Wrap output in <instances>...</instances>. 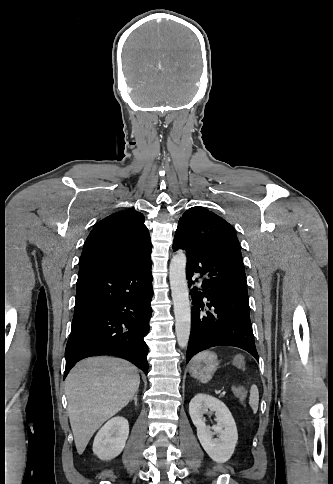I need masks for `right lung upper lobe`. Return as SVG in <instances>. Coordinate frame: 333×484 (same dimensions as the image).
I'll return each instance as SVG.
<instances>
[{"mask_svg": "<svg viewBox=\"0 0 333 484\" xmlns=\"http://www.w3.org/2000/svg\"><path fill=\"white\" fill-rule=\"evenodd\" d=\"M152 244L144 216L134 209L109 215L90 232L80 257L79 273L101 268H126L151 258Z\"/></svg>", "mask_w": 333, "mask_h": 484, "instance_id": "cb5924a9", "label": "right lung upper lobe"}]
</instances>
